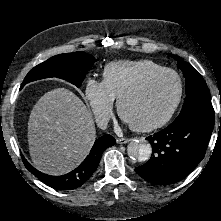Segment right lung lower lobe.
I'll return each mask as SVG.
<instances>
[{
    "mask_svg": "<svg viewBox=\"0 0 221 221\" xmlns=\"http://www.w3.org/2000/svg\"><path fill=\"white\" fill-rule=\"evenodd\" d=\"M115 144V138L107 134L97 139L85 160L73 171L61 175L50 176L33 168L25 158H23L26 168L38 179L48 186L57 190H72L82 186L88 181L97 169L102 153L105 149Z\"/></svg>",
    "mask_w": 221,
    "mask_h": 221,
    "instance_id": "1",
    "label": "right lung lower lobe"
}]
</instances>
